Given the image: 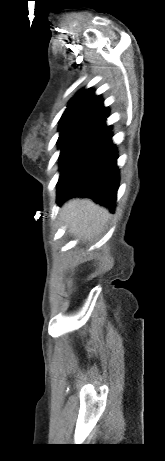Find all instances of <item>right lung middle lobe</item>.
Returning <instances> with one entry per match:
<instances>
[{
    "label": "right lung middle lobe",
    "instance_id": "right-lung-middle-lobe-1",
    "mask_svg": "<svg viewBox=\"0 0 165 461\" xmlns=\"http://www.w3.org/2000/svg\"><path fill=\"white\" fill-rule=\"evenodd\" d=\"M104 127L105 120L93 116H74L60 120L57 143L61 149V174Z\"/></svg>",
    "mask_w": 165,
    "mask_h": 461
}]
</instances>
